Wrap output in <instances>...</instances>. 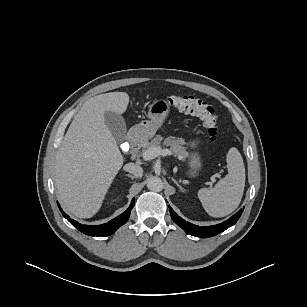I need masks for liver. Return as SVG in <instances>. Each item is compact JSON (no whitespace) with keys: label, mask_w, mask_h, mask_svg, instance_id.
Returning a JSON list of instances; mask_svg holds the SVG:
<instances>
[{"label":"liver","mask_w":307,"mask_h":307,"mask_svg":"<svg viewBox=\"0 0 307 307\" xmlns=\"http://www.w3.org/2000/svg\"><path fill=\"white\" fill-rule=\"evenodd\" d=\"M126 92H109L88 99L70 124L55 160V185L64 207L79 218L100 209L124 159L105 124L104 114H123Z\"/></svg>","instance_id":"obj_1"}]
</instances>
